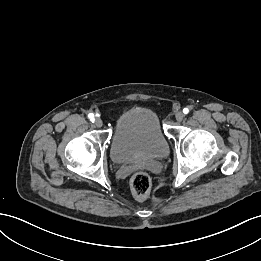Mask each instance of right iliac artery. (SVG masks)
Returning a JSON list of instances; mask_svg holds the SVG:
<instances>
[{
  "label": "right iliac artery",
  "instance_id": "82829eb1",
  "mask_svg": "<svg viewBox=\"0 0 261 261\" xmlns=\"http://www.w3.org/2000/svg\"><path fill=\"white\" fill-rule=\"evenodd\" d=\"M88 118L90 119V121H91L92 123H94L95 118H94V115H93L92 113H90V114L88 115Z\"/></svg>",
  "mask_w": 261,
  "mask_h": 261
}]
</instances>
